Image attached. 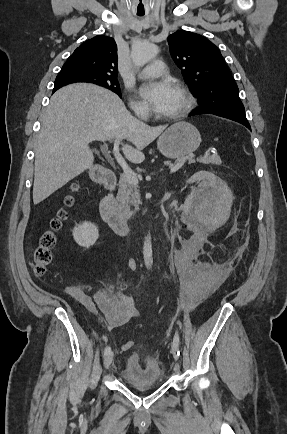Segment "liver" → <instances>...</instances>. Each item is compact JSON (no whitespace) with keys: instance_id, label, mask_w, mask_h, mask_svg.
<instances>
[{"instance_id":"1","label":"liver","mask_w":287,"mask_h":434,"mask_svg":"<svg viewBox=\"0 0 287 434\" xmlns=\"http://www.w3.org/2000/svg\"><path fill=\"white\" fill-rule=\"evenodd\" d=\"M165 126L150 127L133 117L113 92L91 84H72L51 97L42 115L35 154L33 202L39 204L92 167L89 143L127 139L122 145L132 163L144 160L142 150Z\"/></svg>"}]
</instances>
